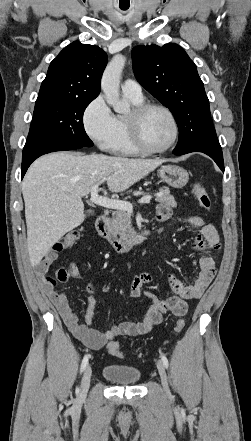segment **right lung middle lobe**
<instances>
[{
    "instance_id": "right-lung-middle-lobe-1",
    "label": "right lung middle lobe",
    "mask_w": 251,
    "mask_h": 441,
    "mask_svg": "<svg viewBox=\"0 0 251 441\" xmlns=\"http://www.w3.org/2000/svg\"><path fill=\"white\" fill-rule=\"evenodd\" d=\"M95 98L36 101L28 137L93 146L83 126V113Z\"/></svg>"
}]
</instances>
